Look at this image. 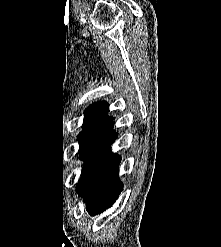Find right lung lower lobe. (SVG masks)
<instances>
[{
  "mask_svg": "<svg viewBox=\"0 0 221 247\" xmlns=\"http://www.w3.org/2000/svg\"><path fill=\"white\" fill-rule=\"evenodd\" d=\"M109 122L82 131L78 136L80 158L85 160L77 193L84 198L87 211L96 215L109 208L118 198L123 184L118 179L121 157L109 152L117 138Z\"/></svg>",
  "mask_w": 221,
  "mask_h": 247,
  "instance_id": "1",
  "label": "right lung lower lobe"
}]
</instances>
